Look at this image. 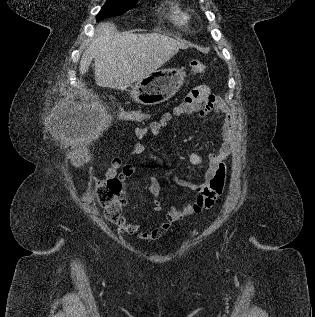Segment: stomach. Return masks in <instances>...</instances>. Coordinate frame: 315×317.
<instances>
[{
    "instance_id": "0dacf381",
    "label": "stomach",
    "mask_w": 315,
    "mask_h": 317,
    "mask_svg": "<svg viewBox=\"0 0 315 317\" xmlns=\"http://www.w3.org/2000/svg\"><path fill=\"white\" fill-rule=\"evenodd\" d=\"M183 68L155 70L139 80L133 97L143 105H157L174 96L184 83Z\"/></svg>"
}]
</instances>
